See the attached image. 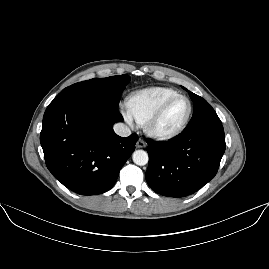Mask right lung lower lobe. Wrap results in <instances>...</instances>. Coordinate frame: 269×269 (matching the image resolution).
Returning <instances> with one entry per match:
<instances>
[{
  "mask_svg": "<svg viewBox=\"0 0 269 269\" xmlns=\"http://www.w3.org/2000/svg\"><path fill=\"white\" fill-rule=\"evenodd\" d=\"M118 106L76 94H58L47 107L40 142L46 166L64 186L81 195L113 187L135 150L136 134L118 136Z\"/></svg>",
  "mask_w": 269,
  "mask_h": 269,
  "instance_id": "obj_1",
  "label": "right lung lower lobe"
}]
</instances>
